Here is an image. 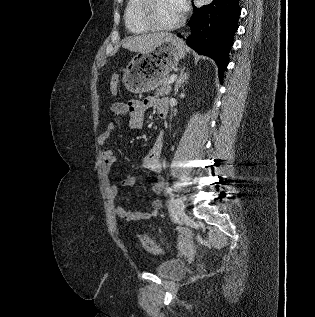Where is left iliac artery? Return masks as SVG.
Masks as SVG:
<instances>
[{
	"instance_id": "left-iliac-artery-1",
	"label": "left iliac artery",
	"mask_w": 315,
	"mask_h": 317,
	"mask_svg": "<svg viewBox=\"0 0 315 317\" xmlns=\"http://www.w3.org/2000/svg\"><path fill=\"white\" fill-rule=\"evenodd\" d=\"M166 192L171 196V201L174 199L173 189L171 187L166 188Z\"/></svg>"
}]
</instances>
